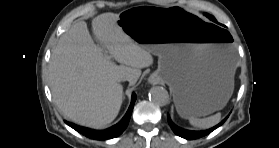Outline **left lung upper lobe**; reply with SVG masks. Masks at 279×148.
Here are the masks:
<instances>
[{
  "label": "left lung upper lobe",
  "instance_id": "1",
  "mask_svg": "<svg viewBox=\"0 0 279 148\" xmlns=\"http://www.w3.org/2000/svg\"><path fill=\"white\" fill-rule=\"evenodd\" d=\"M206 16H207L209 19H211L212 21L217 22L213 16H211V15H209V14H206Z\"/></svg>",
  "mask_w": 279,
  "mask_h": 148
}]
</instances>
